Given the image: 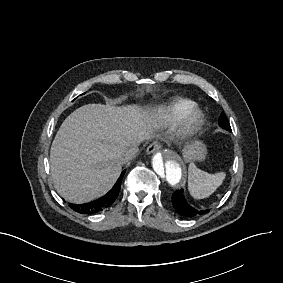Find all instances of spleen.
I'll return each mask as SVG.
<instances>
[{"label":"spleen","instance_id":"spleen-1","mask_svg":"<svg viewBox=\"0 0 283 283\" xmlns=\"http://www.w3.org/2000/svg\"><path fill=\"white\" fill-rule=\"evenodd\" d=\"M226 174L219 172L209 174L190 163L188 167V190L195 199L209 197L223 183Z\"/></svg>","mask_w":283,"mask_h":283}]
</instances>
